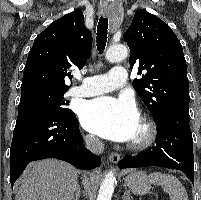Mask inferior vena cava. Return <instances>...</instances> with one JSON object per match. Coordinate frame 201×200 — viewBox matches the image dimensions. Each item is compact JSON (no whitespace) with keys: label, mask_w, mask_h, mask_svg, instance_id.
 <instances>
[{"label":"inferior vena cava","mask_w":201,"mask_h":200,"mask_svg":"<svg viewBox=\"0 0 201 200\" xmlns=\"http://www.w3.org/2000/svg\"><path fill=\"white\" fill-rule=\"evenodd\" d=\"M86 146L94 153L101 154L104 150V144L97 137L88 135L85 138Z\"/></svg>","instance_id":"602c4592"}]
</instances>
